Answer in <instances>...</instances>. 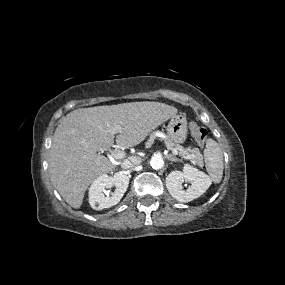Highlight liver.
Returning <instances> with one entry per match:
<instances>
[{"label":"liver","instance_id":"liver-1","mask_svg":"<svg viewBox=\"0 0 285 285\" xmlns=\"http://www.w3.org/2000/svg\"><path fill=\"white\" fill-rule=\"evenodd\" d=\"M177 112L164 103L143 101L80 108L68 113L56 128L50 149L49 174L53 186L71 207L80 208L89 185L116 167L114 161L97 154L114 145L110 129L118 127L117 145L130 148Z\"/></svg>","mask_w":285,"mask_h":285}]
</instances>
